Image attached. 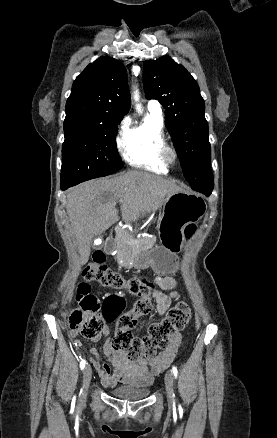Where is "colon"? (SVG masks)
<instances>
[{
	"label": "colon",
	"mask_w": 277,
	"mask_h": 438,
	"mask_svg": "<svg viewBox=\"0 0 277 438\" xmlns=\"http://www.w3.org/2000/svg\"><path fill=\"white\" fill-rule=\"evenodd\" d=\"M194 225H188L186 235L195 232ZM106 256L103 252L93 253L89 264L83 271L87 281L125 292L136 298L133 307L126 312L119 313L117 320L113 321L119 330L112 336V345L115 349L126 353L131 361L145 359L155 361L157 351L168 347L170 339L183 330L190 321V307L186 302H180L171 307L164 319L148 326L144 335H134L129 329L133 328L137 318L151 313L154 309L151 302L153 283L145 275L125 277L113 271L105 264ZM82 310H74L70 315V331L81 333L87 338H94L105 332V320L102 319L100 307L96 296H90L92 289L89 284L83 283L77 289Z\"/></svg>",
	"instance_id": "1"
}]
</instances>
